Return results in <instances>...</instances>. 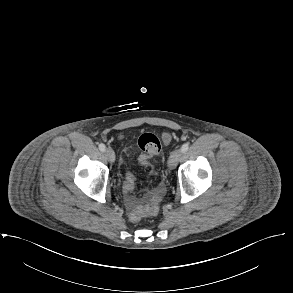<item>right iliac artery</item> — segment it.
<instances>
[{"label": "right iliac artery", "instance_id": "82829eb1", "mask_svg": "<svg viewBox=\"0 0 293 293\" xmlns=\"http://www.w3.org/2000/svg\"><path fill=\"white\" fill-rule=\"evenodd\" d=\"M105 145L103 143L99 144V149L100 151L104 152L105 151Z\"/></svg>", "mask_w": 293, "mask_h": 293}]
</instances>
